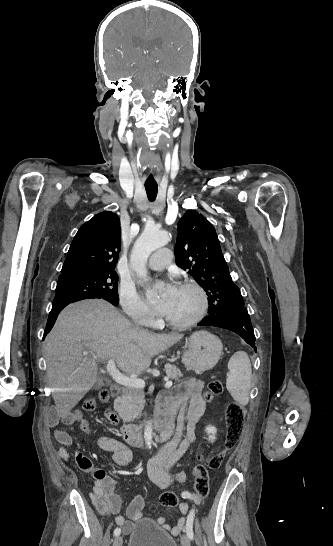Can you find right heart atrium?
Returning <instances> with one entry per match:
<instances>
[{
	"label": "right heart atrium",
	"instance_id": "right-heart-atrium-1",
	"mask_svg": "<svg viewBox=\"0 0 333 546\" xmlns=\"http://www.w3.org/2000/svg\"><path fill=\"white\" fill-rule=\"evenodd\" d=\"M119 299L124 312L134 321L152 324L154 315L140 298L133 285L122 282L119 287Z\"/></svg>",
	"mask_w": 333,
	"mask_h": 546
}]
</instances>
